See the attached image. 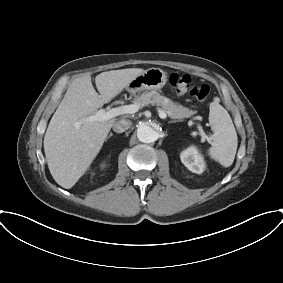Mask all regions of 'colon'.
<instances>
[{
    "label": "colon",
    "instance_id": "5ec220e1",
    "mask_svg": "<svg viewBox=\"0 0 283 283\" xmlns=\"http://www.w3.org/2000/svg\"><path fill=\"white\" fill-rule=\"evenodd\" d=\"M169 83L178 93H189L199 101H205L211 91L208 84L196 82L187 74L172 73L169 76Z\"/></svg>",
    "mask_w": 283,
    "mask_h": 283
}]
</instances>
